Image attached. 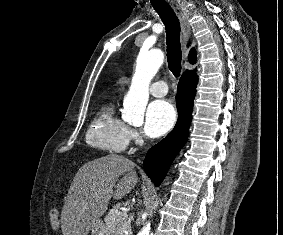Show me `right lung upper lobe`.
Listing matches in <instances>:
<instances>
[{"label": "right lung upper lobe", "instance_id": "1", "mask_svg": "<svg viewBox=\"0 0 283 235\" xmlns=\"http://www.w3.org/2000/svg\"><path fill=\"white\" fill-rule=\"evenodd\" d=\"M188 58H189V61H190L191 63H194V62H195V51H194V49H192V50L190 51ZM187 73H193V72L187 70V71L184 72L183 74H187Z\"/></svg>", "mask_w": 283, "mask_h": 235}]
</instances>
